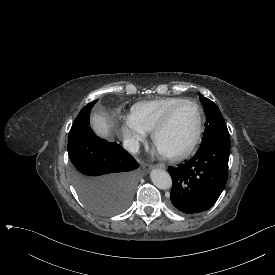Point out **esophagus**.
Instances as JSON below:
<instances>
[{
  "label": "esophagus",
  "mask_w": 275,
  "mask_h": 275,
  "mask_svg": "<svg viewBox=\"0 0 275 275\" xmlns=\"http://www.w3.org/2000/svg\"><path fill=\"white\" fill-rule=\"evenodd\" d=\"M154 167L158 169H166V165L163 163H157Z\"/></svg>",
  "instance_id": "34e87169"
}]
</instances>
